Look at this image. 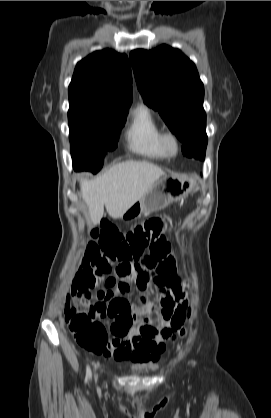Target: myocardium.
<instances>
[{
    "instance_id": "myocardium-1",
    "label": "myocardium",
    "mask_w": 271,
    "mask_h": 418,
    "mask_svg": "<svg viewBox=\"0 0 271 418\" xmlns=\"http://www.w3.org/2000/svg\"><path fill=\"white\" fill-rule=\"evenodd\" d=\"M160 143L164 152L168 156L177 155L180 143L178 136L172 131L162 132L160 136Z\"/></svg>"
}]
</instances>
